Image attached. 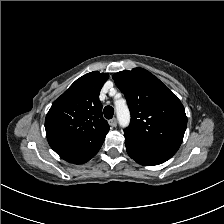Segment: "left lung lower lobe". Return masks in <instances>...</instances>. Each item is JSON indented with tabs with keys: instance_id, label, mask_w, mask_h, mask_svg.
Returning <instances> with one entry per match:
<instances>
[{
	"instance_id": "1",
	"label": "left lung lower lobe",
	"mask_w": 224,
	"mask_h": 224,
	"mask_svg": "<svg viewBox=\"0 0 224 224\" xmlns=\"http://www.w3.org/2000/svg\"><path fill=\"white\" fill-rule=\"evenodd\" d=\"M125 146L132 159L146 166L162 164L175 154L169 150L140 143L128 137H125Z\"/></svg>"
}]
</instances>
